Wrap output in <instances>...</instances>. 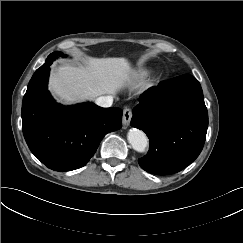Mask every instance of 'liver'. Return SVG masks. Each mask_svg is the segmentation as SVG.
I'll use <instances>...</instances> for the list:
<instances>
[{
  "label": "liver",
  "mask_w": 243,
  "mask_h": 243,
  "mask_svg": "<svg viewBox=\"0 0 243 243\" xmlns=\"http://www.w3.org/2000/svg\"><path fill=\"white\" fill-rule=\"evenodd\" d=\"M134 73L126 58H87L84 66L63 65L51 75L49 88L59 101L73 104L117 92L131 82Z\"/></svg>",
  "instance_id": "liver-1"
}]
</instances>
